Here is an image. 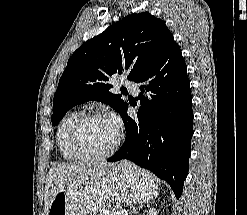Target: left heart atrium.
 <instances>
[{"label": "left heart atrium", "mask_w": 247, "mask_h": 215, "mask_svg": "<svg viewBox=\"0 0 247 215\" xmlns=\"http://www.w3.org/2000/svg\"><path fill=\"white\" fill-rule=\"evenodd\" d=\"M107 120L115 131L118 132L120 129V120L115 115H110Z\"/></svg>", "instance_id": "39dd6f15"}]
</instances>
